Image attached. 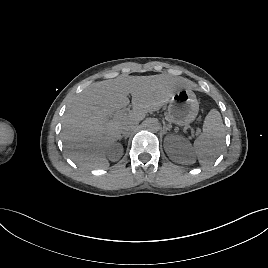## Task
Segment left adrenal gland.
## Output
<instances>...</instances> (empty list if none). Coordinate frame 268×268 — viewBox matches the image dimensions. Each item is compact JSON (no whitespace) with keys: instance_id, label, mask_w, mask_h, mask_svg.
<instances>
[{"instance_id":"left-adrenal-gland-1","label":"left adrenal gland","mask_w":268,"mask_h":268,"mask_svg":"<svg viewBox=\"0 0 268 268\" xmlns=\"http://www.w3.org/2000/svg\"><path fill=\"white\" fill-rule=\"evenodd\" d=\"M167 130H169V128L167 126H163V134H166L167 133Z\"/></svg>"}]
</instances>
